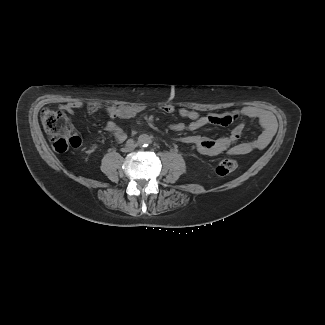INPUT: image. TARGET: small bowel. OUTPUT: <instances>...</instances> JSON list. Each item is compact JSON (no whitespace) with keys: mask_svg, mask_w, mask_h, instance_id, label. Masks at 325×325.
Segmentation results:
<instances>
[{"mask_svg":"<svg viewBox=\"0 0 325 325\" xmlns=\"http://www.w3.org/2000/svg\"><path fill=\"white\" fill-rule=\"evenodd\" d=\"M82 107L81 102H73L68 104H60L58 111L64 114L66 121L73 119V111ZM96 107L90 106L89 111H96ZM159 110L166 115H178L188 119V123L176 122L168 125L169 130L177 133L190 132L198 130L207 125L230 126L234 125L231 132L219 138H207L199 135H186L177 138L178 141L195 147L198 152L217 155L227 153L230 155H243L254 150H263L270 143L275 132V121L272 114L264 109L254 106H243L238 110L225 114H201L198 111L177 108L172 104H162ZM105 112L111 118L105 123V130L113 137V139L122 143L127 139V134L113 120L134 118L142 112L141 107L134 106H108ZM256 120L261 126V133L251 141H242V135L245 127L244 120ZM136 131L133 130V134ZM78 138V137H77ZM79 144L75 147L80 145Z\"/></svg>","mask_w":325,"mask_h":325,"instance_id":"obj_1","label":"small bowel"}]
</instances>
